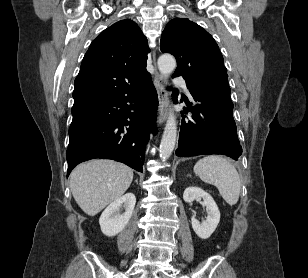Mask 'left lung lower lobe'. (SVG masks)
<instances>
[{
  "mask_svg": "<svg viewBox=\"0 0 308 278\" xmlns=\"http://www.w3.org/2000/svg\"><path fill=\"white\" fill-rule=\"evenodd\" d=\"M197 102L182 112L179 147L176 155L190 157L205 154H223L237 160L242 147L237 137L233 119V103L230 98L228 79L207 83L197 89H190ZM175 103L177 93L173 94Z\"/></svg>",
  "mask_w": 308,
  "mask_h": 278,
  "instance_id": "0a47b994",
  "label": "left lung lower lobe"
}]
</instances>
